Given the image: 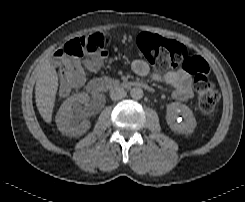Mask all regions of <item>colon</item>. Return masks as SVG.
<instances>
[{"label":"colon","instance_id":"5ec220e1","mask_svg":"<svg viewBox=\"0 0 245 202\" xmlns=\"http://www.w3.org/2000/svg\"><path fill=\"white\" fill-rule=\"evenodd\" d=\"M135 46L140 55L155 70L169 71L181 67L195 76V90L199 110L206 116L213 114L219 99L218 91L210 77L209 66L201 57L192 56L188 47L178 41L165 40L142 32L135 37ZM111 38L106 34H95L87 39H72L61 45L54 53L61 63L60 81L74 85L79 82V72L74 58H85L97 54L95 63L108 58Z\"/></svg>","mask_w":245,"mask_h":202}]
</instances>
